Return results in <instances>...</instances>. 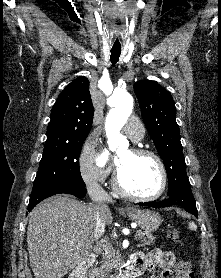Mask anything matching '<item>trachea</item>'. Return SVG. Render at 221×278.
<instances>
[{
    "label": "trachea",
    "instance_id": "1",
    "mask_svg": "<svg viewBox=\"0 0 221 278\" xmlns=\"http://www.w3.org/2000/svg\"><path fill=\"white\" fill-rule=\"evenodd\" d=\"M110 52H111L110 61H111L112 65H115L119 60V57L121 54V48L112 47Z\"/></svg>",
    "mask_w": 221,
    "mask_h": 278
}]
</instances>
